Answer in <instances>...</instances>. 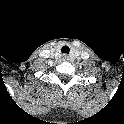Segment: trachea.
Returning <instances> with one entry per match:
<instances>
[{
    "mask_svg": "<svg viewBox=\"0 0 124 124\" xmlns=\"http://www.w3.org/2000/svg\"><path fill=\"white\" fill-rule=\"evenodd\" d=\"M61 52H62V53H65V54H69V52H70L69 46L64 45V46L61 48Z\"/></svg>",
    "mask_w": 124,
    "mask_h": 124,
    "instance_id": "trachea-1",
    "label": "trachea"
}]
</instances>
